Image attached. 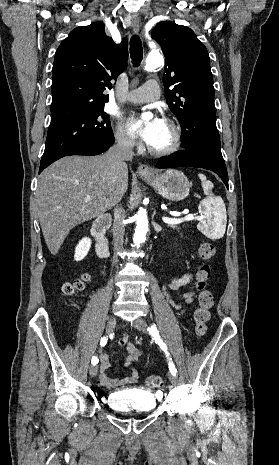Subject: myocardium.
I'll list each match as a JSON object with an SVG mask.
<instances>
[{
	"mask_svg": "<svg viewBox=\"0 0 279 465\" xmlns=\"http://www.w3.org/2000/svg\"><path fill=\"white\" fill-rule=\"evenodd\" d=\"M163 122L168 124L170 128L172 129L173 141L168 147L164 149H160V150L153 149L152 147L147 145L148 152L151 155L157 156V157L167 156V155H171L175 153L180 148L181 143H182V130H181L180 125L175 120L170 119V118H165Z\"/></svg>",
	"mask_w": 279,
	"mask_h": 465,
	"instance_id": "myocardium-1",
	"label": "myocardium"
}]
</instances>
